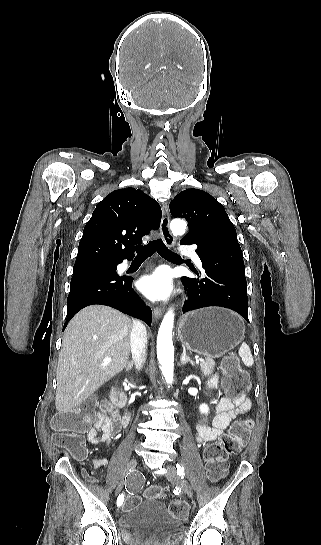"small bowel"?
<instances>
[{"label": "small bowel", "mask_w": 321, "mask_h": 545, "mask_svg": "<svg viewBox=\"0 0 321 545\" xmlns=\"http://www.w3.org/2000/svg\"><path fill=\"white\" fill-rule=\"evenodd\" d=\"M217 384L218 377L214 375L207 381L206 389H213ZM250 409L251 401L245 395L222 398L213 408L214 417L212 425H209L207 420H202L197 425L196 440L201 444H205L217 439L239 414L246 413ZM118 429V426L100 413L97 416L95 424L87 432V438L93 444L104 443L111 445L112 439L118 432ZM107 464L108 460L105 458L93 461L95 468L104 467ZM85 476L87 477V474Z\"/></svg>", "instance_id": "c3829d8e"}]
</instances>
